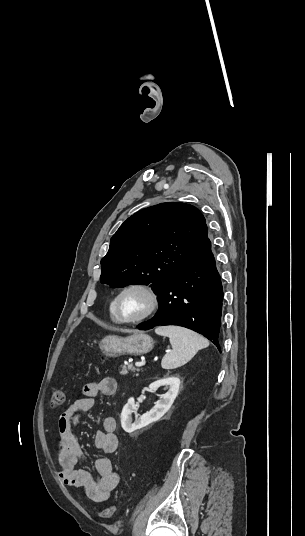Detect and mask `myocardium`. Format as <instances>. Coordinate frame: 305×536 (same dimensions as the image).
<instances>
[{"label":"myocardium","mask_w":305,"mask_h":536,"mask_svg":"<svg viewBox=\"0 0 305 536\" xmlns=\"http://www.w3.org/2000/svg\"><path fill=\"white\" fill-rule=\"evenodd\" d=\"M130 289H141L149 298V307L147 311L140 317L135 319H123L119 314V301L122 295ZM160 297L154 286L147 282L135 281L123 286L112 300V310L117 324L122 326H136L149 320L159 309Z\"/></svg>","instance_id":"1"}]
</instances>
